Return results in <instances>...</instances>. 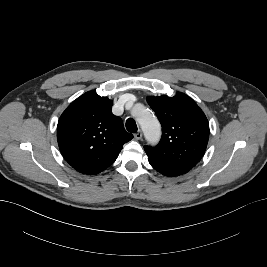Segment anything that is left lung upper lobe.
<instances>
[{"instance_id": "obj_1", "label": "left lung upper lobe", "mask_w": 267, "mask_h": 267, "mask_svg": "<svg viewBox=\"0 0 267 267\" xmlns=\"http://www.w3.org/2000/svg\"><path fill=\"white\" fill-rule=\"evenodd\" d=\"M161 125L162 138L155 147L145 146L149 163L191 169L203 157L209 138V123L199 106L184 93L147 97Z\"/></svg>"}]
</instances>
